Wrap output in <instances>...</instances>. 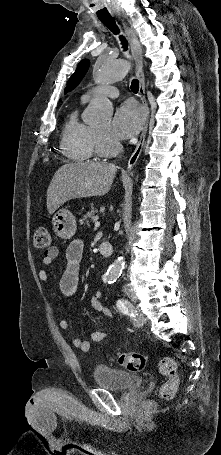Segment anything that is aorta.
Wrapping results in <instances>:
<instances>
[{
    "instance_id": "762f6f07",
    "label": "aorta",
    "mask_w": 221,
    "mask_h": 455,
    "mask_svg": "<svg viewBox=\"0 0 221 455\" xmlns=\"http://www.w3.org/2000/svg\"><path fill=\"white\" fill-rule=\"evenodd\" d=\"M130 64L125 60L101 61L94 71L96 84H107L122 80L128 73ZM113 113L112 103L106 98L95 97L89 104L85 113V122L88 124H100L111 119ZM125 265L123 257H118L108 268L106 279L113 281L117 279Z\"/></svg>"
}]
</instances>
